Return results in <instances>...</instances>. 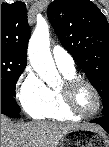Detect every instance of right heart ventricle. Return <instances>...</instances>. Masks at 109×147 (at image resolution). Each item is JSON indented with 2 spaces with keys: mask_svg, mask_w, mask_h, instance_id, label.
<instances>
[{
  "mask_svg": "<svg viewBox=\"0 0 109 147\" xmlns=\"http://www.w3.org/2000/svg\"><path fill=\"white\" fill-rule=\"evenodd\" d=\"M61 72L65 79L75 76V70H61ZM50 94L51 99L47 105L36 108L28 112V114L37 119H50L54 121H71L79 119V117L73 115L67 109L59 89L50 90Z\"/></svg>",
  "mask_w": 109,
  "mask_h": 147,
  "instance_id": "obj_1",
  "label": "right heart ventricle"
}]
</instances>
